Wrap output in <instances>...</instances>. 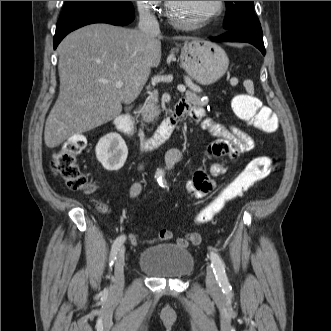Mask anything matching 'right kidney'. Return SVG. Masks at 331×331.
Segmentation results:
<instances>
[{
	"label": "right kidney",
	"instance_id": "right-kidney-1",
	"mask_svg": "<svg viewBox=\"0 0 331 331\" xmlns=\"http://www.w3.org/2000/svg\"><path fill=\"white\" fill-rule=\"evenodd\" d=\"M128 155L125 141L118 133L103 136L96 146V157L110 171L123 167Z\"/></svg>",
	"mask_w": 331,
	"mask_h": 331
}]
</instances>
